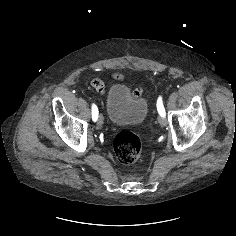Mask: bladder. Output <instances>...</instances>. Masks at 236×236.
<instances>
[{
	"label": "bladder",
	"instance_id": "31cf9c89",
	"mask_svg": "<svg viewBox=\"0 0 236 236\" xmlns=\"http://www.w3.org/2000/svg\"><path fill=\"white\" fill-rule=\"evenodd\" d=\"M108 119L119 126H137L148 114V101L122 83L113 84L106 96Z\"/></svg>",
	"mask_w": 236,
	"mask_h": 236
}]
</instances>
